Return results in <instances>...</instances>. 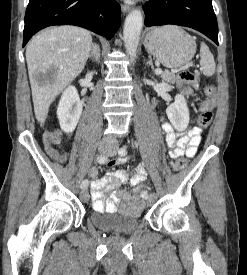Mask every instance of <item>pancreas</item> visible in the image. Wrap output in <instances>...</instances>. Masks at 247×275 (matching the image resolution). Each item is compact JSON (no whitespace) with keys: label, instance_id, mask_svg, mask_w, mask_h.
<instances>
[{"label":"pancreas","instance_id":"1","mask_svg":"<svg viewBox=\"0 0 247 275\" xmlns=\"http://www.w3.org/2000/svg\"><path fill=\"white\" fill-rule=\"evenodd\" d=\"M160 77L163 81L169 82L171 84H174L177 81V76L169 71H164Z\"/></svg>","mask_w":247,"mask_h":275}]
</instances>
